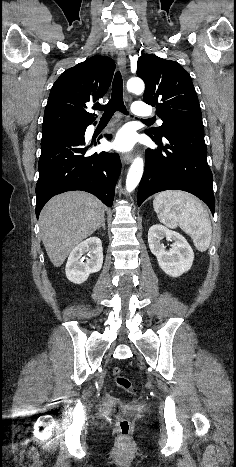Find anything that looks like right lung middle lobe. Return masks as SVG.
<instances>
[{"label":"right lung middle lobe","instance_id":"obj_1","mask_svg":"<svg viewBox=\"0 0 236 467\" xmlns=\"http://www.w3.org/2000/svg\"><path fill=\"white\" fill-rule=\"evenodd\" d=\"M86 130V127L82 128H65V129H57V130H50V131H44L42 132V139L41 141L57 138V137H62L66 135H72V134H81L84 133Z\"/></svg>","mask_w":236,"mask_h":467}]
</instances>
